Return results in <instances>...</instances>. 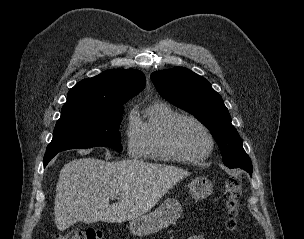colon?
I'll return each instance as SVG.
<instances>
[{
	"mask_svg": "<svg viewBox=\"0 0 304 239\" xmlns=\"http://www.w3.org/2000/svg\"><path fill=\"white\" fill-rule=\"evenodd\" d=\"M242 182L238 178H230L226 181L223 195L228 208L227 228L235 230L238 226L240 212V198L242 196ZM101 232L96 229L85 231H68L57 234L55 239H100Z\"/></svg>",
	"mask_w": 304,
	"mask_h": 239,
	"instance_id": "obj_1",
	"label": "colon"
}]
</instances>
